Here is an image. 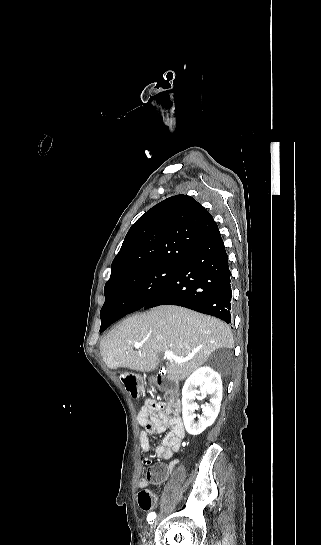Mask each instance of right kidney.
I'll use <instances>...</instances> for the list:
<instances>
[{"instance_id":"1","label":"right kidney","mask_w":321,"mask_h":545,"mask_svg":"<svg viewBox=\"0 0 321 545\" xmlns=\"http://www.w3.org/2000/svg\"><path fill=\"white\" fill-rule=\"evenodd\" d=\"M200 387V391H197ZM202 393L203 397L210 395V403L202 407V415H198L195 421L194 411H198L195 405V397ZM222 401V381L219 373L211 367H201L190 375L182 389V417L185 429L189 435H200L207 427L213 425L218 417Z\"/></svg>"}]
</instances>
